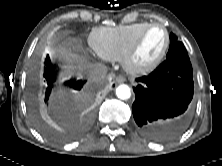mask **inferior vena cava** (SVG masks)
Returning a JSON list of instances; mask_svg holds the SVG:
<instances>
[{
  "instance_id": "inferior-vena-cava-1",
  "label": "inferior vena cava",
  "mask_w": 222,
  "mask_h": 166,
  "mask_svg": "<svg viewBox=\"0 0 222 166\" xmlns=\"http://www.w3.org/2000/svg\"><path fill=\"white\" fill-rule=\"evenodd\" d=\"M107 72V67L99 63L91 64L86 68V75L88 79L95 82L102 81L105 78Z\"/></svg>"
}]
</instances>
